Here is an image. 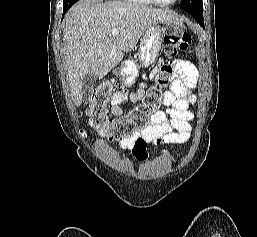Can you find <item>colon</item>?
<instances>
[{
  "mask_svg": "<svg viewBox=\"0 0 257 237\" xmlns=\"http://www.w3.org/2000/svg\"><path fill=\"white\" fill-rule=\"evenodd\" d=\"M190 43L191 35L187 31L177 27L166 29L164 44L168 58L185 53ZM170 73V62L165 60L161 65L156 83L148 89L141 104L127 115L117 119L110 118L108 112L109 105L115 97L114 83L110 80L101 81L90 97L87 110L90 126L101 137L111 141L129 138L141 132L147 126L149 118L156 114L161 106L162 89L168 82Z\"/></svg>",
  "mask_w": 257,
  "mask_h": 237,
  "instance_id": "5ec220e1",
  "label": "colon"
}]
</instances>
